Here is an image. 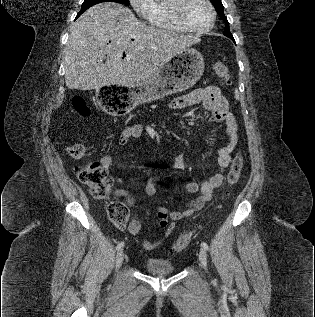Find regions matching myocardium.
<instances>
[{"mask_svg": "<svg viewBox=\"0 0 315 317\" xmlns=\"http://www.w3.org/2000/svg\"><path fill=\"white\" fill-rule=\"evenodd\" d=\"M189 0H174L173 5H172V11H173V16L176 20V22L186 31L193 32V33H206L210 31L216 21V11L215 8L210 0H204L206 5L208 6L211 14V20L210 23L207 27L204 28H194L190 26L186 19H185V7L187 5Z\"/></svg>", "mask_w": 315, "mask_h": 317, "instance_id": "f54148a6", "label": "myocardium"}]
</instances>
